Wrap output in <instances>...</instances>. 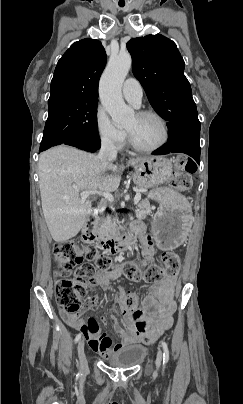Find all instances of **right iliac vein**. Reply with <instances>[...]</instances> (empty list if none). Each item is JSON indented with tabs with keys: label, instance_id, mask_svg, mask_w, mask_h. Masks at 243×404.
Wrapping results in <instances>:
<instances>
[{
	"label": "right iliac vein",
	"instance_id": "right-iliac-vein-1",
	"mask_svg": "<svg viewBox=\"0 0 243 404\" xmlns=\"http://www.w3.org/2000/svg\"><path fill=\"white\" fill-rule=\"evenodd\" d=\"M78 357L80 362V368L82 371H86L88 369V363L86 359V355L84 352V341L80 340L77 346Z\"/></svg>",
	"mask_w": 243,
	"mask_h": 404
}]
</instances>
